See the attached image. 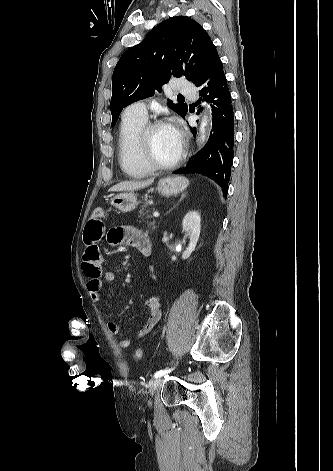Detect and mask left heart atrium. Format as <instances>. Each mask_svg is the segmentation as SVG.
<instances>
[{
  "mask_svg": "<svg viewBox=\"0 0 333 471\" xmlns=\"http://www.w3.org/2000/svg\"><path fill=\"white\" fill-rule=\"evenodd\" d=\"M169 128L171 130V133H172L173 138L175 139V141L178 144L181 145L182 144V135H181V132L179 131V129L176 126H173V125H170Z\"/></svg>",
  "mask_w": 333,
  "mask_h": 471,
  "instance_id": "39dd6f15",
  "label": "left heart atrium"
}]
</instances>
